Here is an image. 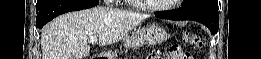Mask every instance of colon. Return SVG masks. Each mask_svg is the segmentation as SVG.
I'll list each match as a JSON object with an SVG mask.
<instances>
[{"label": "colon", "mask_w": 261, "mask_h": 59, "mask_svg": "<svg viewBox=\"0 0 261 59\" xmlns=\"http://www.w3.org/2000/svg\"><path fill=\"white\" fill-rule=\"evenodd\" d=\"M187 43L192 45L196 49H200L203 45L202 40L195 34L187 33L184 36ZM156 59L167 58V59H192L193 57L189 54L183 53L181 48L178 46H171L167 49L166 55L163 56L160 51L153 55Z\"/></svg>", "instance_id": "1"}]
</instances>
